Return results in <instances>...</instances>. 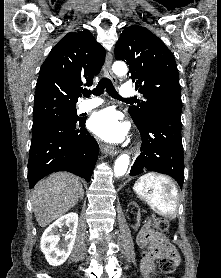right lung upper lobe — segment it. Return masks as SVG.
<instances>
[{
	"mask_svg": "<svg viewBox=\"0 0 221 278\" xmlns=\"http://www.w3.org/2000/svg\"><path fill=\"white\" fill-rule=\"evenodd\" d=\"M105 49L88 30L69 32L40 68L34 105L48 101L76 103L84 84L91 86L104 64Z\"/></svg>",
	"mask_w": 221,
	"mask_h": 278,
	"instance_id": "right-lung-upper-lobe-1",
	"label": "right lung upper lobe"
}]
</instances>
